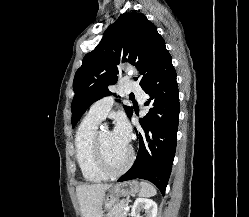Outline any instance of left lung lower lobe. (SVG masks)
Here are the masks:
<instances>
[{
    "label": "left lung lower lobe",
    "mask_w": 249,
    "mask_h": 217,
    "mask_svg": "<svg viewBox=\"0 0 249 217\" xmlns=\"http://www.w3.org/2000/svg\"><path fill=\"white\" fill-rule=\"evenodd\" d=\"M150 110L143 118L145 139L136 131L139 151L133 166L118 182L141 178L155 184L164 195L176 150L179 92L169 55L144 89ZM143 125V124H142Z\"/></svg>",
    "instance_id": "obj_1"
}]
</instances>
